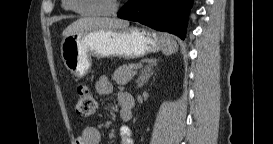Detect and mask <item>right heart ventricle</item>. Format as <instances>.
I'll use <instances>...</instances> for the list:
<instances>
[{
  "label": "right heart ventricle",
  "instance_id": "obj_1",
  "mask_svg": "<svg viewBox=\"0 0 273 144\" xmlns=\"http://www.w3.org/2000/svg\"><path fill=\"white\" fill-rule=\"evenodd\" d=\"M63 7H64L66 10H69V9H70V6H69V3H68L67 0H65V1L63 2Z\"/></svg>",
  "mask_w": 273,
  "mask_h": 144
}]
</instances>
